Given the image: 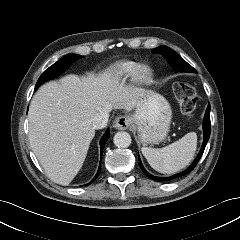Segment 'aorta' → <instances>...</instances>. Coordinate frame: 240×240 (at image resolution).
<instances>
[{"label":"aorta","mask_w":240,"mask_h":240,"mask_svg":"<svg viewBox=\"0 0 240 240\" xmlns=\"http://www.w3.org/2000/svg\"><path fill=\"white\" fill-rule=\"evenodd\" d=\"M113 140H114V144L118 148H127L131 144V136H130V134L127 133V132H124V131L117 132L114 135Z\"/></svg>","instance_id":"aorta-1"}]
</instances>
